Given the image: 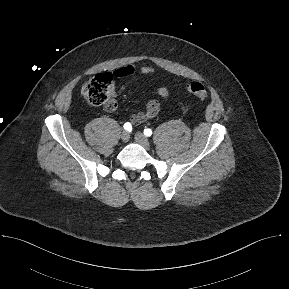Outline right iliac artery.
Segmentation results:
<instances>
[{
	"label": "right iliac artery",
	"instance_id": "82829eb1",
	"mask_svg": "<svg viewBox=\"0 0 289 289\" xmlns=\"http://www.w3.org/2000/svg\"><path fill=\"white\" fill-rule=\"evenodd\" d=\"M123 127L127 131H130L132 129V125L129 122H126Z\"/></svg>",
	"mask_w": 289,
	"mask_h": 289
}]
</instances>
